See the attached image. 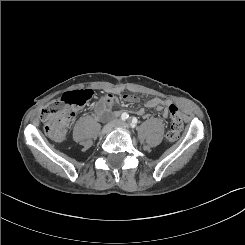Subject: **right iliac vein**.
Wrapping results in <instances>:
<instances>
[{
    "instance_id": "obj_1",
    "label": "right iliac vein",
    "mask_w": 245,
    "mask_h": 245,
    "mask_svg": "<svg viewBox=\"0 0 245 245\" xmlns=\"http://www.w3.org/2000/svg\"><path fill=\"white\" fill-rule=\"evenodd\" d=\"M119 125V122L117 120H114V121H111L109 122L108 124H106L102 130H101V134L102 135H106L108 134L112 129L113 127H116Z\"/></svg>"
}]
</instances>
